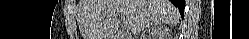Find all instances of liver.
<instances>
[{
	"label": "liver",
	"instance_id": "1",
	"mask_svg": "<svg viewBox=\"0 0 249 39\" xmlns=\"http://www.w3.org/2000/svg\"><path fill=\"white\" fill-rule=\"evenodd\" d=\"M118 16L133 34L152 25H176L180 18L168 0H83L79 24L84 39H115Z\"/></svg>",
	"mask_w": 249,
	"mask_h": 39
}]
</instances>
